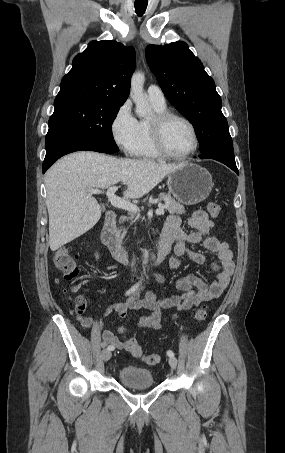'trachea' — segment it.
<instances>
[{
	"label": "trachea",
	"mask_w": 285,
	"mask_h": 453,
	"mask_svg": "<svg viewBox=\"0 0 285 453\" xmlns=\"http://www.w3.org/2000/svg\"><path fill=\"white\" fill-rule=\"evenodd\" d=\"M135 11L138 16H142L147 8V2L145 0H135Z\"/></svg>",
	"instance_id": "1"
}]
</instances>
